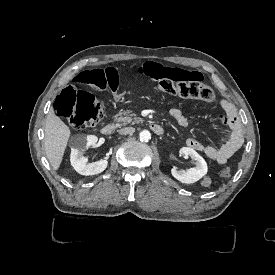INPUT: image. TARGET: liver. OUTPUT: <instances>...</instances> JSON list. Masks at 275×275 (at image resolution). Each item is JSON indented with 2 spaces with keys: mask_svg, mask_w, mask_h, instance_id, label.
<instances>
[{
  "mask_svg": "<svg viewBox=\"0 0 275 275\" xmlns=\"http://www.w3.org/2000/svg\"><path fill=\"white\" fill-rule=\"evenodd\" d=\"M44 148L47 159L54 171L60 168L68 141L71 137V128L55 114L51 107L45 121Z\"/></svg>",
  "mask_w": 275,
  "mask_h": 275,
  "instance_id": "obj_1",
  "label": "liver"
}]
</instances>
